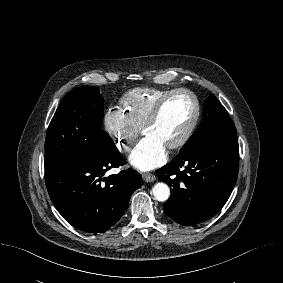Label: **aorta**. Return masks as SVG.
<instances>
[{
  "label": "aorta",
  "mask_w": 283,
  "mask_h": 283,
  "mask_svg": "<svg viewBox=\"0 0 283 283\" xmlns=\"http://www.w3.org/2000/svg\"><path fill=\"white\" fill-rule=\"evenodd\" d=\"M152 193L156 200L164 202L170 197V188L167 184L159 182L154 185Z\"/></svg>",
  "instance_id": "obj_1"
}]
</instances>
